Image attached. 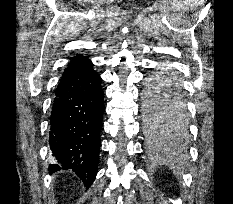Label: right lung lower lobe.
I'll use <instances>...</instances> for the list:
<instances>
[{"mask_svg":"<svg viewBox=\"0 0 233 204\" xmlns=\"http://www.w3.org/2000/svg\"><path fill=\"white\" fill-rule=\"evenodd\" d=\"M102 79L91 62H75L60 80L50 117L49 143L60 163L49 171L72 169L90 186L99 160V133L104 113Z\"/></svg>","mask_w":233,"mask_h":204,"instance_id":"obj_1","label":"right lung lower lobe"}]
</instances>
